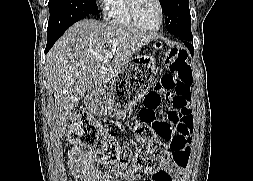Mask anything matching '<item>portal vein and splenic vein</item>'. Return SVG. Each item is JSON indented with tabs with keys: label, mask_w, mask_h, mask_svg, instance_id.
I'll return each instance as SVG.
<instances>
[{
	"label": "portal vein and splenic vein",
	"mask_w": 253,
	"mask_h": 181,
	"mask_svg": "<svg viewBox=\"0 0 253 181\" xmlns=\"http://www.w3.org/2000/svg\"><path fill=\"white\" fill-rule=\"evenodd\" d=\"M113 57V54L112 53H109L106 55V58H112Z\"/></svg>",
	"instance_id": "18ae733b"
}]
</instances>
